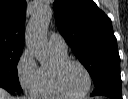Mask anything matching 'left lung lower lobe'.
<instances>
[{"mask_svg": "<svg viewBox=\"0 0 128 99\" xmlns=\"http://www.w3.org/2000/svg\"><path fill=\"white\" fill-rule=\"evenodd\" d=\"M91 96H107L111 99H122L121 77L118 73L102 77L95 85Z\"/></svg>", "mask_w": 128, "mask_h": 99, "instance_id": "left-lung-lower-lobe-1", "label": "left lung lower lobe"}]
</instances>
